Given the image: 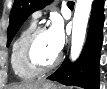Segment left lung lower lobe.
<instances>
[{
  "label": "left lung lower lobe",
  "instance_id": "left-lung-lower-lobe-1",
  "mask_svg": "<svg viewBox=\"0 0 107 89\" xmlns=\"http://www.w3.org/2000/svg\"><path fill=\"white\" fill-rule=\"evenodd\" d=\"M104 1L94 0L90 27L85 47L75 63L68 58L47 79L64 85H75L85 89H99V58L103 41Z\"/></svg>",
  "mask_w": 107,
  "mask_h": 89
}]
</instances>
